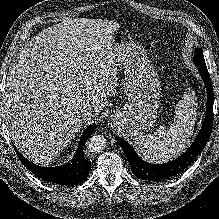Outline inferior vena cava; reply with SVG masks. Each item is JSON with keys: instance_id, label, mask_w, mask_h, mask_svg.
Listing matches in <instances>:
<instances>
[{"instance_id": "1", "label": "inferior vena cava", "mask_w": 219, "mask_h": 219, "mask_svg": "<svg viewBox=\"0 0 219 219\" xmlns=\"http://www.w3.org/2000/svg\"><path fill=\"white\" fill-rule=\"evenodd\" d=\"M80 117L82 118V119H91V118H95V117H97V113L96 112H94L93 110H91V109H82L81 111H80Z\"/></svg>"}]
</instances>
